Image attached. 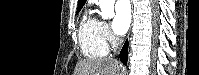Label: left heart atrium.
<instances>
[{
	"label": "left heart atrium",
	"mask_w": 199,
	"mask_h": 75,
	"mask_svg": "<svg viewBox=\"0 0 199 75\" xmlns=\"http://www.w3.org/2000/svg\"><path fill=\"white\" fill-rule=\"evenodd\" d=\"M131 23V8L128 1H118L115 5L113 30L118 35L127 32Z\"/></svg>",
	"instance_id": "1"
}]
</instances>
